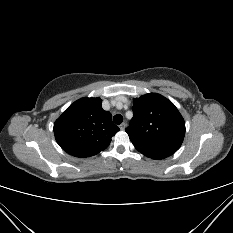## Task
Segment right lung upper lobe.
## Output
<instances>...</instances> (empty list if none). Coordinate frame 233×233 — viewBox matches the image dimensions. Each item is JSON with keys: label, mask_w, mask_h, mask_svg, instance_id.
I'll list each match as a JSON object with an SVG mask.
<instances>
[{"label": "right lung upper lobe", "mask_w": 233, "mask_h": 233, "mask_svg": "<svg viewBox=\"0 0 233 233\" xmlns=\"http://www.w3.org/2000/svg\"><path fill=\"white\" fill-rule=\"evenodd\" d=\"M100 98L84 97L71 104L55 121L57 143L75 157H90L106 149L119 131Z\"/></svg>", "instance_id": "cb5924a9"}]
</instances>
